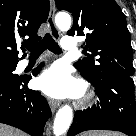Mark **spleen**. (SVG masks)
<instances>
[{
  "label": "spleen",
  "mask_w": 136,
  "mask_h": 136,
  "mask_svg": "<svg viewBox=\"0 0 136 136\" xmlns=\"http://www.w3.org/2000/svg\"><path fill=\"white\" fill-rule=\"evenodd\" d=\"M84 136H121V135L112 132H89L84 134Z\"/></svg>",
  "instance_id": "3e777b00"
}]
</instances>
